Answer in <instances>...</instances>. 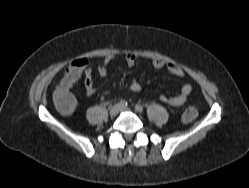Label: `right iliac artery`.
I'll use <instances>...</instances> for the list:
<instances>
[{"label": "right iliac artery", "mask_w": 249, "mask_h": 188, "mask_svg": "<svg viewBox=\"0 0 249 188\" xmlns=\"http://www.w3.org/2000/svg\"><path fill=\"white\" fill-rule=\"evenodd\" d=\"M118 106L119 107H127V102L125 100H121L119 103H118Z\"/></svg>", "instance_id": "1"}]
</instances>
